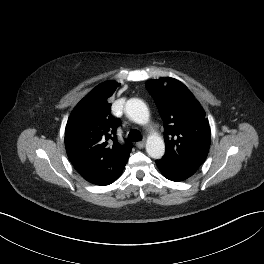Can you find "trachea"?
I'll return each instance as SVG.
<instances>
[{"label":"trachea","mask_w":264,"mask_h":264,"mask_svg":"<svg viewBox=\"0 0 264 264\" xmlns=\"http://www.w3.org/2000/svg\"><path fill=\"white\" fill-rule=\"evenodd\" d=\"M141 140H142V135L140 134L139 131L132 130V131L129 132L128 141L135 142V141H141Z\"/></svg>","instance_id":"1"}]
</instances>
